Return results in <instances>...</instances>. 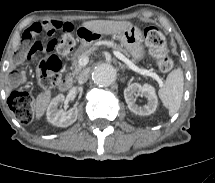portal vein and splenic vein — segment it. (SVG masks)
I'll use <instances>...</instances> for the list:
<instances>
[{
	"label": "portal vein and splenic vein",
	"mask_w": 215,
	"mask_h": 183,
	"mask_svg": "<svg viewBox=\"0 0 215 183\" xmlns=\"http://www.w3.org/2000/svg\"><path fill=\"white\" fill-rule=\"evenodd\" d=\"M114 55L118 59H120L121 61H123L133 71L138 72V73H140L142 75H146V76L152 77L153 79H155L159 83V86L163 85L162 79L156 73L151 72V71L146 70V69H142V68L137 67L132 61H130L129 59H127L122 53H120L118 51H114ZM88 62H89V58L87 56L82 57L79 60V64L81 66H86L88 64Z\"/></svg>",
	"instance_id": "1"
}]
</instances>
